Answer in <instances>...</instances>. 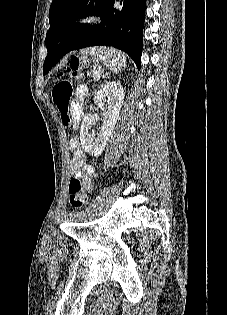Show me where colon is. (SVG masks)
Here are the masks:
<instances>
[{
  "mask_svg": "<svg viewBox=\"0 0 227 315\" xmlns=\"http://www.w3.org/2000/svg\"><path fill=\"white\" fill-rule=\"evenodd\" d=\"M85 63L79 58L73 59L62 71L58 73V80L52 88V98L60 113L64 126H71L79 117V112L71 104L73 95L72 79L78 77ZM68 197L70 204L75 208L84 207L89 201V193L82 181L73 177L69 182Z\"/></svg>",
  "mask_w": 227,
  "mask_h": 315,
  "instance_id": "1",
  "label": "colon"
}]
</instances>
